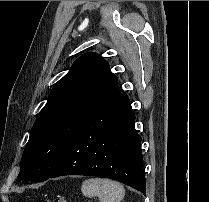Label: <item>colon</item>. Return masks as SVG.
<instances>
[{
  "instance_id": "1",
  "label": "colon",
  "mask_w": 209,
  "mask_h": 202,
  "mask_svg": "<svg viewBox=\"0 0 209 202\" xmlns=\"http://www.w3.org/2000/svg\"><path fill=\"white\" fill-rule=\"evenodd\" d=\"M37 202H68L65 198L58 197L53 200H48L46 198H41Z\"/></svg>"
}]
</instances>
